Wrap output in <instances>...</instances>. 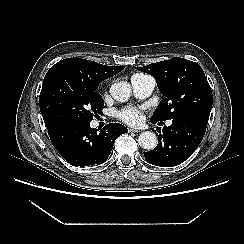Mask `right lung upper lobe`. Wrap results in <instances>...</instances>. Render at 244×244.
I'll return each instance as SVG.
<instances>
[{
	"instance_id": "obj_1",
	"label": "right lung upper lobe",
	"mask_w": 244,
	"mask_h": 244,
	"mask_svg": "<svg viewBox=\"0 0 244 244\" xmlns=\"http://www.w3.org/2000/svg\"><path fill=\"white\" fill-rule=\"evenodd\" d=\"M124 66H106L81 58H67L53 65L47 73L59 72L86 87L96 88L104 79L112 77Z\"/></svg>"
}]
</instances>
